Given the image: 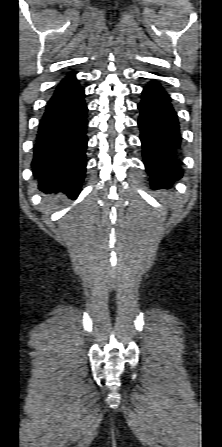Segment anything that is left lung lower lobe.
I'll return each instance as SVG.
<instances>
[{
  "label": "left lung lower lobe",
  "instance_id": "0a47b994",
  "mask_svg": "<svg viewBox=\"0 0 222 447\" xmlns=\"http://www.w3.org/2000/svg\"><path fill=\"white\" fill-rule=\"evenodd\" d=\"M144 164L155 188H168L182 177L176 151L181 137L177 115L163 87L152 80L138 104Z\"/></svg>",
  "mask_w": 222,
  "mask_h": 447
}]
</instances>
